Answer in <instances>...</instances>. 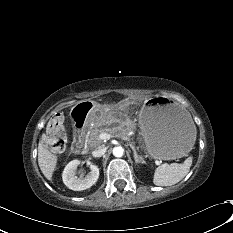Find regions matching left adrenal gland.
Masks as SVG:
<instances>
[{"label": "left adrenal gland", "instance_id": "left-adrenal-gland-1", "mask_svg": "<svg viewBox=\"0 0 233 233\" xmlns=\"http://www.w3.org/2000/svg\"><path fill=\"white\" fill-rule=\"evenodd\" d=\"M131 148H132L133 153H134L135 162L136 163H144L143 158L137 154V151H136L135 147L133 145H131Z\"/></svg>", "mask_w": 233, "mask_h": 233}]
</instances>
